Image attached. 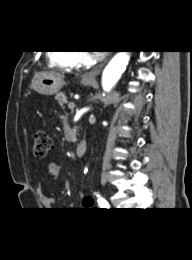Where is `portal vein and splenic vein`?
Wrapping results in <instances>:
<instances>
[{"label": "portal vein and splenic vein", "instance_id": "18ae733b", "mask_svg": "<svg viewBox=\"0 0 192 260\" xmlns=\"http://www.w3.org/2000/svg\"><path fill=\"white\" fill-rule=\"evenodd\" d=\"M74 107H75L74 102L68 103V108H69V109H73Z\"/></svg>", "mask_w": 192, "mask_h": 260}]
</instances>
